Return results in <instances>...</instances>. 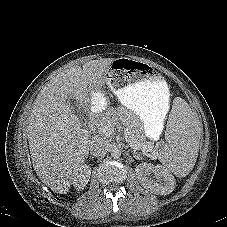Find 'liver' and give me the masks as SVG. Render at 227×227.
Masks as SVG:
<instances>
[{
    "instance_id": "6515ba94",
    "label": "liver",
    "mask_w": 227,
    "mask_h": 227,
    "mask_svg": "<svg viewBox=\"0 0 227 227\" xmlns=\"http://www.w3.org/2000/svg\"><path fill=\"white\" fill-rule=\"evenodd\" d=\"M114 59L72 66L57 74L38 94L28 120L27 137L33 168L52 191L66 194L74 173L89 153L91 135L67 103L73 98L87 111L92 96L106 83L104 72Z\"/></svg>"
}]
</instances>
